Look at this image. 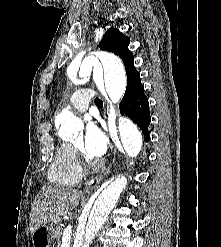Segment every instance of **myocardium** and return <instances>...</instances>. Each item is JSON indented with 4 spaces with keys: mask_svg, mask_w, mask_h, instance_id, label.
I'll return each mask as SVG.
<instances>
[{
    "mask_svg": "<svg viewBox=\"0 0 221 247\" xmlns=\"http://www.w3.org/2000/svg\"><path fill=\"white\" fill-rule=\"evenodd\" d=\"M74 149L81 155L82 161L87 168L92 169L96 166V161L86 156L80 147L74 145Z\"/></svg>",
    "mask_w": 221,
    "mask_h": 247,
    "instance_id": "f54148a6",
    "label": "myocardium"
}]
</instances>
